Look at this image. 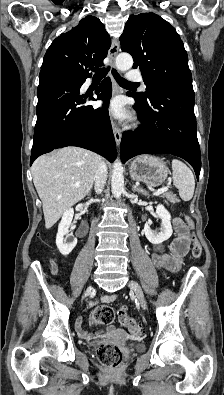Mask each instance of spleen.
Returning <instances> with one entry per match:
<instances>
[{"label":"spleen","instance_id":"3e777b00","mask_svg":"<svg viewBox=\"0 0 224 395\" xmlns=\"http://www.w3.org/2000/svg\"><path fill=\"white\" fill-rule=\"evenodd\" d=\"M173 184L179 191L182 200L192 199L195 189V179L192 171L180 160H172Z\"/></svg>","mask_w":224,"mask_h":395}]
</instances>
